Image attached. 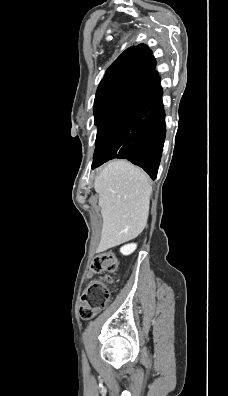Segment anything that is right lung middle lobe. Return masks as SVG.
Segmentation results:
<instances>
[{"label":"right lung middle lobe","mask_w":228,"mask_h":396,"mask_svg":"<svg viewBox=\"0 0 228 396\" xmlns=\"http://www.w3.org/2000/svg\"><path fill=\"white\" fill-rule=\"evenodd\" d=\"M146 75V71L140 70L99 84L94 101L95 124L98 126V131L93 159L96 158L108 132L127 108Z\"/></svg>","instance_id":"right-lung-middle-lobe-1"}]
</instances>
